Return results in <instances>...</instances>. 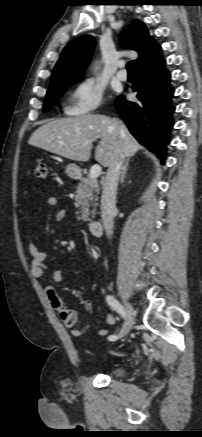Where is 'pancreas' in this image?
Returning a JSON list of instances; mask_svg holds the SVG:
<instances>
[{"label": "pancreas", "instance_id": "1", "mask_svg": "<svg viewBox=\"0 0 202 437\" xmlns=\"http://www.w3.org/2000/svg\"><path fill=\"white\" fill-rule=\"evenodd\" d=\"M99 193V184L96 180L88 178H81L75 195V207L78 209L76 212L77 219L87 222L90 220V206H96ZM95 209L92 210L94 215Z\"/></svg>", "mask_w": 202, "mask_h": 437}]
</instances>
